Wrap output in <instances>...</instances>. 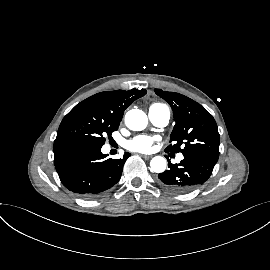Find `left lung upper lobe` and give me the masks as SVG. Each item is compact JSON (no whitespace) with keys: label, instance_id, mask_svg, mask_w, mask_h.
Listing matches in <instances>:
<instances>
[{"label":"left lung upper lobe","instance_id":"left-lung-upper-lobe-1","mask_svg":"<svg viewBox=\"0 0 270 270\" xmlns=\"http://www.w3.org/2000/svg\"><path fill=\"white\" fill-rule=\"evenodd\" d=\"M168 102L174 113L175 126L166 152L193 153L217 161L219 140L217 124L212 115L194 100L175 92L155 89Z\"/></svg>","mask_w":270,"mask_h":270}]
</instances>
